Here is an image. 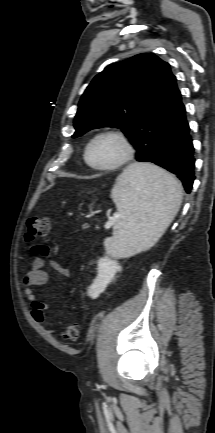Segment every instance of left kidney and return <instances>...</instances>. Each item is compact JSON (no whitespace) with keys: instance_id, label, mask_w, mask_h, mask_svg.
Here are the masks:
<instances>
[{"instance_id":"obj_1","label":"left kidney","mask_w":215,"mask_h":433,"mask_svg":"<svg viewBox=\"0 0 215 433\" xmlns=\"http://www.w3.org/2000/svg\"><path fill=\"white\" fill-rule=\"evenodd\" d=\"M118 271H121V266L116 260H111L107 256L100 258L97 262L98 274L88 288V296L96 299L105 291L107 285L113 280Z\"/></svg>"}]
</instances>
